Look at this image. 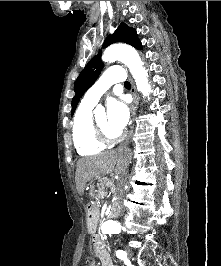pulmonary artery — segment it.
Returning <instances> with one entry per match:
<instances>
[{"mask_svg": "<svg viewBox=\"0 0 221 266\" xmlns=\"http://www.w3.org/2000/svg\"><path fill=\"white\" fill-rule=\"evenodd\" d=\"M125 73L119 65L110 66L98 79V81L86 92L81 104L93 107L96 105L100 97L113 83L123 82Z\"/></svg>", "mask_w": 221, "mask_h": 266, "instance_id": "1", "label": "pulmonary artery"}]
</instances>
